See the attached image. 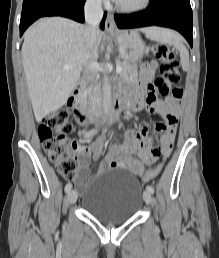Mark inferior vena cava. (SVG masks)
I'll list each match as a JSON object with an SVG mask.
<instances>
[{"mask_svg":"<svg viewBox=\"0 0 219 258\" xmlns=\"http://www.w3.org/2000/svg\"><path fill=\"white\" fill-rule=\"evenodd\" d=\"M85 20L87 22L84 28V38L88 47L93 48L96 41V34L98 31L99 23L103 17V10L101 0H87L84 7ZM88 69L92 71L94 69V63L88 65ZM93 80V77H88ZM92 98V95H90Z\"/></svg>","mask_w":219,"mask_h":258,"instance_id":"1","label":"inferior vena cava"}]
</instances>
